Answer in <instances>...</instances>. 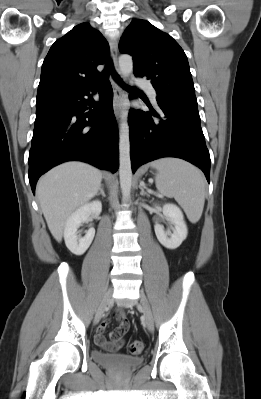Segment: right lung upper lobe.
Instances as JSON below:
<instances>
[{"label":"right lung upper lobe","mask_w":261,"mask_h":399,"mask_svg":"<svg viewBox=\"0 0 261 399\" xmlns=\"http://www.w3.org/2000/svg\"><path fill=\"white\" fill-rule=\"evenodd\" d=\"M109 46L102 34L88 23L74 27L58 39L44 59L37 104L94 86L100 77Z\"/></svg>","instance_id":"cb5924a9"}]
</instances>
